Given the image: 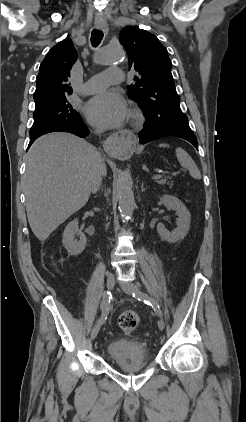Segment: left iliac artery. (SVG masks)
<instances>
[{
	"label": "left iliac artery",
	"instance_id": "1",
	"mask_svg": "<svg viewBox=\"0 0 246 422\" xmlns=\"http://www.w3.org/2000/svg\"><path fill=\"white\" fill-rule=\"evenodd\" d=\"M133 297H135V298H137L138 300H141V301H143L144 303H146V304H148V305H150V306H152V308L154 309V311H155V313L158 315V316H162V311H161V309H160V306H159V304L154 300V299H152L151 297H149L146 293H143V292H140V291H137V292H134L133 293Z\"/></svg>",
	"mask_w": 246,
	"mask_h": 422
}]
</instances>
